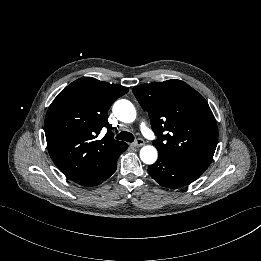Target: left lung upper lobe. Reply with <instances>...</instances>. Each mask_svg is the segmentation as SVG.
<instances>
[{
  "label": "left lung upper lobe",
  "instance_id": "left-lung-upper-lobe-1",
  "mask_svg": "<svg viewBox=\"0 0 261 261\" xmlns=\"http://www.w3.org/2000/svg\"><path fill=\"white\" fill-rule=\"evenodd\" d=\"M149 114L158 136L159 155H174L209 166L218 141V128L206 100L181 80L142 84L133 88Z\"/></svg>",
  "mask_w": 261,
  "mask_h": 261
}]
</instances>
